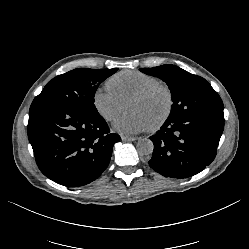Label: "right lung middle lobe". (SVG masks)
<instances>
[{
    "instance_id": "1",
    "label": "right lung middle lobe",
    "mask_w": 249,
    "mask_h": 249,
    "mask_svg": "<svg viewBox=\"0 0 249 249\" xmlns=\"http://www.w3.org/2000/svg\"><path fill=\"white\" fill-rule=\"evenodd\" d=\"M118 69L77 68L53 78L33 100L30 111L49 106H69L97 112L95 92L100 83Z\"/></svg>"
}]
</instances>
